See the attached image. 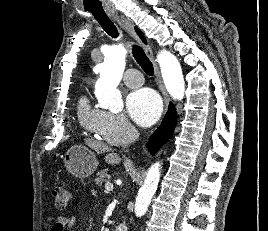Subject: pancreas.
<instances>
[{
    "mask_svg": "<svg viewBox=\"0 0 268 231\" xmlns=\"http://www.w3.org/2000/svg\"><path fill=\"white\" fill-rule=\"evenodd\" d=\"M106 178H108V174L106 170L100 171L97 173L95 182L97 185L101 186L105 181Z\"/></svg>",
    "mask_w": 268,
    "mask_h": 231,
    "instance_id": "1",
    "label": "pancreas"
}]
</instances>
